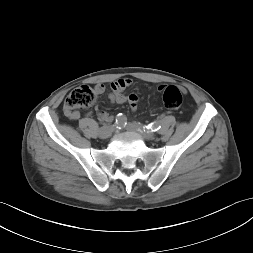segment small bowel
Masks as SVG:
<instances>
[{
	"mask_svg": "<svg viewBox=\"0 0 253 253\" xmlns=\"http://www.w3.org/2000/svg\"><path fill=\"white\" fill-rule=\"evenodd\" d=\"M132 84V80L129 78H120L112 83L111 92L109 98L112 102L117 104L128 103L130 107L134 110L137 107L138 97L135 94L125 95L123 90ZM163 85H160L158 89L162 91ZM97 94H102L105 91V86L103 84H97L94 87ZM65 115L71 120H77L80 116L78 111H70L65 109ZM99 117L101 120L109 121L111 117L106 112H100Z\"/></svg>",
	"mask_w": 253,
	"mask_h": 253,
	"instance_id": "small-bowel-1",
	"label": "small bowel"
}]
</instances>
